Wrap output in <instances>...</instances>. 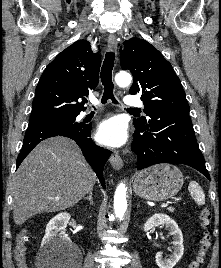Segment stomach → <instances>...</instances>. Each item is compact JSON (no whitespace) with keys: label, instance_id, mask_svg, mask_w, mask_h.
<instances>
[{"label":"stomach","instance_id":"0dacf381","mask_svg":"<svg viewBox=\"0 0 221 268\" xmlns=\"http://www.w3.org/2000/svg\"><path fill=\"white\" fill-rule=\"evenodd\" d=\"M183 174L172 164H158L139 172L133 182L136 195L163 201L173 197L182 187Z\"/></svg>","mask_w":221,"mask_h":268}]
</instances>
